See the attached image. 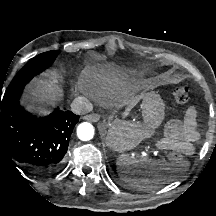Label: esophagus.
<instances>
[{
	"label": "esophagus",
	"mask_w": 216,
	"mask_h": 216,
	"mask_svg": "<svg viewBox=\"0 0 216 216\" xmlns=\"http://www.w3.org/2000/svg\"><path fill=\"white\" fill-rule=\"evenodd\" d=\"M84 119L90 122H97L100 119V116L96 113H92V114L86 115Z\"/></svg>",
	"instance_id": "obj_1"
}]
</instances>
